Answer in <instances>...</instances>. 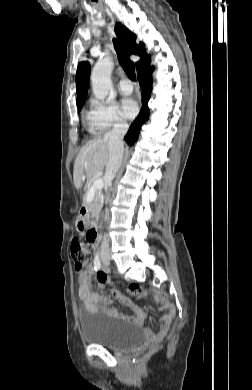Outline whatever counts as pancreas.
<instances>
[{
  "mask_svg": "<svg viewBox=\"0 0 252 390\" xmlns=\"http://www.w3.org/2000/svg\"><path fill=\"white\" fill-rule=\"evenodd\" d=\"M101 198H102L101 193L99 191H96L94 193L92 202L87 201L86 204L92 211H95V207L99 204Z\"/></svg>",
  "mask_w": 252,
  "mask_h": 390,
  "instance_id": "obj_1",
  "label": "pancreas"
}]
</instances>
